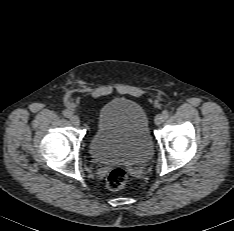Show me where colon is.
Wrapping results in <instances>:
<instances>
[{"mask_svg":"<svg viewBox=\"0 0 234 231\" xmlns=\"http://www.w3.org/2000/svg\"><path fill=\"white\" fill-rule=\"evenodd\" d=\"M128 182V173L122 168L111 170L107 176V187L112 191L122 189Z\"/></svg>","mask_w":234,"mask_h":231,"instance_id":"1","label":"colon"}]
</instances>
